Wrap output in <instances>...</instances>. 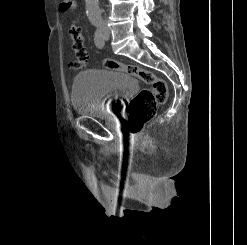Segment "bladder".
<instances>
[{"mask_svg": "<svg viewBox=\"0 0 247 245\" xmlns=\"http://www.w3.org/2000/svg\"><path fill=\"white\" fill-rule=\"evenodd\" d=\"M136 87V80L124 72L107 68L88 69L74 78L72 107L79 115L93 117L116 113L122 101L133 93Z\"/></svg>", "mask_w": 247, "mask_h": 245, "instance_id": "bladder-1", "label": "bladder"}]
</instances>
